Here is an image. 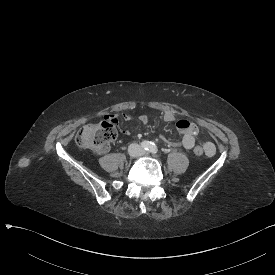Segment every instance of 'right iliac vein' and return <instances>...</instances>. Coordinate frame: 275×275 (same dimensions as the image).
I'll list each match as a JSON object with an SVG mask.
<instances>
[{
    "label": "right iliac vein",
    "instance_id": "right-iliac-vein-1",
    "mask_svg": "<svg viewBox=\"0 0 275 275\" xmlns=\"http://www.w3.org/2000/svg\"><path fill=\"white\" fill-rule=\"evenodd\" d=\"M136 150V146H132L130 149V154H132V151Z\"/></svg>",
    "mask_w": 275,
    "mask_h": 275
}]
</instances>
